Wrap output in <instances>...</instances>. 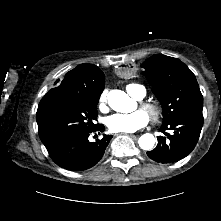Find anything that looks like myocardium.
<instances>
[{
	"instance_id": "myocardium-1",
	"label": "myocardium",
	"mask_w": 221,
	"mask_h": 221,
	"mask_svg": "<svg viewBox=\"0 0 221 221\" xmlns=\"http://www.w3.org/2000/svg\"><path fill=\"white\" fill-rule=\"evenodd\" d=\"M140 107L148 113L152 122L156 123L159 121L162 114V109L158 103L152 101H143L140 103Z\"/></svg>"
}]
</instances>
